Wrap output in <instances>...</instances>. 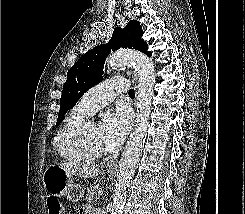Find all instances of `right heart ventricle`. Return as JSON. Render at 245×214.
<instances>
[{"label": "right heart ventricle", "mask_w": 245, "mask_h": 214, "mask_svg": "<svg viewBox=\"0 0 245 214\" xmlns=\"http://www.w3.org/2000/svg\"><path fill=\"white\" fill-rule=\"evenodd\" d=\"M90 114L80 103L76 104L66 115L59 127L53 147L59 157L69 163H80L83 159L77 154L73 146V136L79 125Z\"/></svg>", "instance_id": "right-heart-ventricle-1"}]
</instances>
